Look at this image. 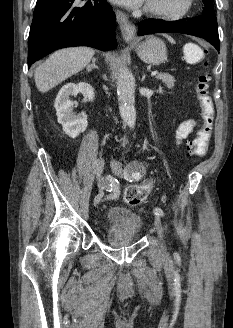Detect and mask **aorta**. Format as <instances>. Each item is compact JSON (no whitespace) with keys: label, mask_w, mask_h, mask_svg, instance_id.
I'll list each match as a JSON object with an SVG mask.
<instances>
[{"label":"aorta","mask_w":233,"mask_h":328,"mask_svg":"<svg viewBox=\"0 0 233 328\" xmlns=\"http://www.w3.org/2000/svg\"><path fill=\"white\" fill-rule=\"evenodd\" d=\"M117 93L121 117L130 128H133L136 121L135 79L124 65L118 70Z\"/></svg>","instance_id":"aorta-1"}]
</instances>
